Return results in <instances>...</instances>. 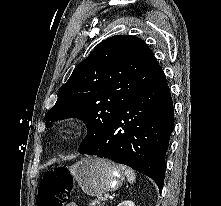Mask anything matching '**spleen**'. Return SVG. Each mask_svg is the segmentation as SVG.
<instances>
[{
    "label": "spleen",
    "instance_id": "obj_1",
    "mask_svg": "<svg viewBox=\"0 0 221 206\" xmlns=\"http://www.w3.org/2000/svg\"><path fill=\"white\" fill-rule=\"evenodd\" d=\"M121 169L123 170L126 179L129 183H134L136 180V175L132 169H129L128 167L121 166Z\"/></svg>",
    "mask_w": 221,
    "mask_h": 206
}]
</instances>
